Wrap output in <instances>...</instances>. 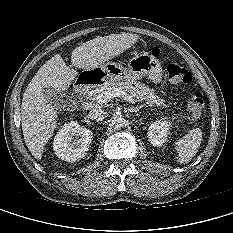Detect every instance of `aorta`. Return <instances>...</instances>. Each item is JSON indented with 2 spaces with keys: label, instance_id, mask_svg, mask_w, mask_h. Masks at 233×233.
Returning a JSON list of instances; mask_svg holds the SVG:
<instances>
[{
  "label": "aorta",
  "instance_id": "1",
  "mask_svg": "<svg viewBox=\"0 0 233 233\" xmlns=\"http://www.w3.org/2000/svg\"><path fill=\"white\" fill-rule=\"evenodd\" d=\"M110 125L115 128V129H120L122 128L125 123H126V120L125 118L121 115V114H114L110 120Z\"/></svg>",
  "mask_w": 233,
  "mask_h": 233
}]
</instances>
